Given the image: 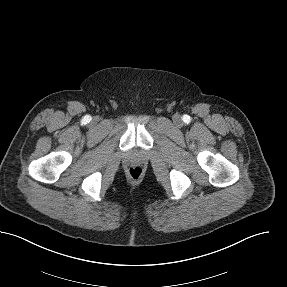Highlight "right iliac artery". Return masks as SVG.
Here are the masks:
<instances>
[{
  "mask_svg": "<svg viewBox=\"0 0 287 287\" xmlns=\"http://www.w3.org/2000/svg\"><path fill=\"white\" fill-rule=\"evenodd\" d=\"M90 120H91V118H90L89 116H86V117L84 118V122H85V123L90 122Z\"/></svg>",
  "mask_w": 287,
  "mask_h": 287,
  "instance_id": "obj_1",
  "label": "right iliac artery"
}]
</instances>
